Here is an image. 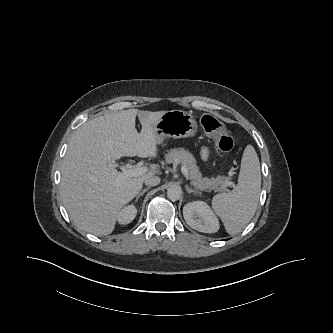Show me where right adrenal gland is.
I'll return each instance as SVG.
<instances>
[{
	"label": "right adrenal gland",
	"mask_w": 333,
	"mask_h": 333,
	"mask_svg": "<svg viewBox=\"0 0 333 333\" xmlns=\"http://www.w3.org/2000/svg\"><path fill=\"white\" fill-rule=\"evenodd\" d=\"M149 189H150V187H147V188L143 189L140 193H138L137 196H136V202L138 201L139 197H140V196H143L144 193H145L146 191H148Z\"/></svg>",
	"instance_id": "right-adrenal-gland-1"
}]
</instances>
